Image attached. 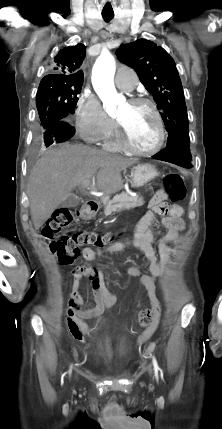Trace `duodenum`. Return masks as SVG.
Returning a JSON list of instances; mask_svg holds the SVG:
<instances>
[{"instance_id": "410a0bca", "label": "duodenum", "mask_w": 222, "mask_h": 429, "mask_svg": "<svg viewBox=\"0 0 222 429\" xmlns=\"http://www.w3.org/2000/svg\"><path fill=\"white\" fill-rule=\"evenodd\" d=\"M99 203L95 200H89L83 206L82 213L85 217H90L93 213L99 210Z\"/></svg>"}]
</instances>
